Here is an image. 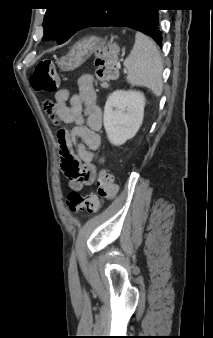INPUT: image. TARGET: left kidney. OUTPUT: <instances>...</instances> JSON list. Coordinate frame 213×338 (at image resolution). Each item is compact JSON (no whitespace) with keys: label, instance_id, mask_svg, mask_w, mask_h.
<instances>
[{"label":"left kidney","instance_id":"1","mask_svg":"<svg viewBox=\"0 0 213 338\" xmlns=\"http://www.w3.org/2000/svg\"><path fill=\"white\" fill-rule=\"evenodd\" d=\"M145 97L139 91L117 90L104 107V128L111 144L120 146L133 138L142 125Z\"/></svg>","mask_w":213,"mask_h":338}]
</instances>
